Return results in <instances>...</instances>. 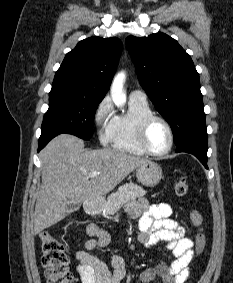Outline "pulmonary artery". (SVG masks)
<instances>
[{"label": "pulmonary artery", "instance_id": "e3ab8cb5", "mask_svg": "<svg viewBox=\"0 0 233 283\" xmlns=\"http://www.w3.org/2000/svg\"><path fill=\"white\" fill-rule=\"evenodd\" d=\"M129 100L140 103H147L146 94L140 90H132L129 94Z\"/></svg>", "mask_w": 233, "mask_h": 283}]
</instances>
